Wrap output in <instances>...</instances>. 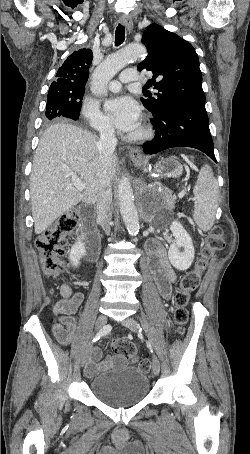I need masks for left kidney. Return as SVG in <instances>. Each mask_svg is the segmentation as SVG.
Here are the masks:
<instances>
[{
    "instance_id": "obj_1",
    "label": "left kidney",
    "mask_w": 250,
    "mask_h": 454,
    "mask_svg": "<svg viewBox=\"0 0 250 454\" xmlns=\"http://www.w3.org/2000/svg\"><path fill=\"white\" fill-rule=\"evenodd\" d=\"M170 230L175 239L168 251L169 261L176 269L185 271L191 266L195 256L192 239L177 220L172 222Z\"/></svg>"
}]
</instances>
